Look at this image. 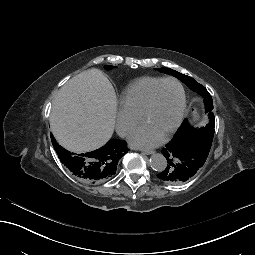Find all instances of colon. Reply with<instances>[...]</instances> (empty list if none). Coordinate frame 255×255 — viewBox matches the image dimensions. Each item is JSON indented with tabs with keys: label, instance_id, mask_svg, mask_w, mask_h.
Wrapping results in <instances>:
<instances>
[{
	"label": "colon",
	"instance_id": "5ec220e1",
	"mask_svg": "<svg viewBox=\"0 0 255 255\" xmlns=\"http://www.w3.org/2000/svg\"><path fill=\"white\" fill-rule=\"evenodd\" d=\"M193 115L197 118L199 117V112L197 109H193Z\"/></svg>",
	"mask_w": 255,
	"mask_h": 255
}]
</instances>
